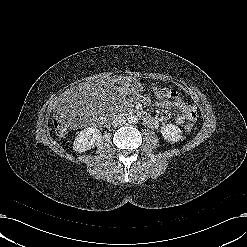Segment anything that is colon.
Returning <instances> with one entry per match:
<instances>
[{
  "label": "colon",
  "instance_id": "5ec220e1",
  "mask_svg": "<svg viewBox=\"0 0 247 247\" xmlns=\"http://www.w3.org/2000/svg\"><path fill=\"white\" fill-rule=\"evenodd\" d=\"M150 95L153 99H155L158 102H163L167 99L168 97V92L165 88H163L160 85H155L151 88L150 90ZM73 116V114H67L59 118L58 120L54 121V130L58 135H65L67 131V125L66 121L69 116ZM194 127V121L190 120L186 125H185V130L186 131H191Z\"/></svg>",
  "mask_w": 247,
  "mask_h": 247
}]
</instances>
